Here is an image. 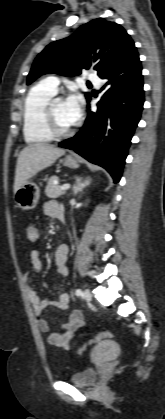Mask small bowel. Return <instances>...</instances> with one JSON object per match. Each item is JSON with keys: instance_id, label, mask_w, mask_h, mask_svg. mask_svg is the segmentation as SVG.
Masks as SVG:
<instances>
[{"instance_id": "small-bowel-1", "label": "small bowel", "mask_w": 165, "mask_h": 419, "mask_svg": "<svg viewBox=\"0 0 165 419\" xmlns=\"http://www.w3.org/2000/svg\"><path fill=\"white\" fill-rule=\"evenodd\" d=\"M58 203L55 201H47L44 204L43 210L47 216L58 217ZM30 230L35 232V236H32ZM27 237L30 241H36L39 239L38 229L30 225L27 227ZM69 255V248L65 244H61L56 248L55 251V264H56V273L58 277H66L69 273L68 267L66 265ZM31 264L30 268L24 274V284L27 292L29 301L31 302L39 329L43 333L50 332V323L43 316V311L50 307H56L58 309H67L70 303V296L66 291H61L58 294L56 300L50 299H40L33 287V276L32 272H39L41 270V261H40V251L35 249L30 254ZM84 325V316L83 313L79 310L73 311L66 319V321L61 325L59 331H53L48 334L47 340L48 343L54 347H58L62 350L68 351L71 349L70 341L77 336V333L80 328Z\"/></svg>"}]
</instances>
